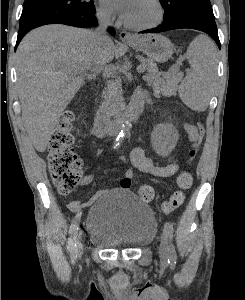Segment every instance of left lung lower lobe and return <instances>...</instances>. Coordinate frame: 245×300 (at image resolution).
<instances>
[{
	"label": "left lung lower lobe",
	"mask_w": 245,
	"mask_h": 300,
	"mask_svg": "<svg viewBox=\"0 0 245 300\" xmlns=\"http://www.w3.org/2000/svg\"><path fill=\"white\" fill-rule=\"evenodd\" d=\"M182 28L203 31L215 40L219 48L221 47L215 18L193 12H181L172 19L165 21L160 27L144 30L140 33H158Z\"/></svg>",
	"instance_id": "1"
}]
</instances>
